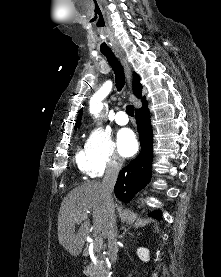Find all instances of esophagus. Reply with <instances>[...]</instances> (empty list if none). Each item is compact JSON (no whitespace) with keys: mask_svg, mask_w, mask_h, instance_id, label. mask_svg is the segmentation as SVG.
Wrapping results in <instances>:
<instances>
[{"mask_svg":"<svg viewBox=\"0 0 221 277\" xmlns=\"http://www.w3.org/2000/svg\"><path fill=\"white\" fill-rule=\"evenodd\" d=\"M114 52L117 55V57L120 59L122 65H123V67L125 69L128 82L130 84L131 83V69H130V66H129L127 60L125 59V57L123 56V54L121 53L120 50L116 49Z\"/></svg>","mask_w":221,"mask_h":277,"instance_id":"obj_1","label":"esophagus"}]
</instances>
